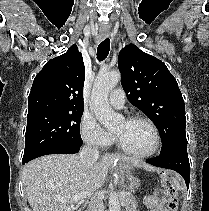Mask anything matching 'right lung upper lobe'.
I'll use <instances>...</instances> for the list:
<instances>
[{
    "mask_svg": "<svg viewBox=\"0 0 209 211\" xmlns=\"http://www.w3.org/2000/svg\"><path fill=\"white\" fill-rule=\"evenodd\" d=\"M85 67L76 44L48 61L36 75L28 98V113L84 109Z\"/></svg>",
    "mask_w": 209,
    "mask_h": 211,
    "instance_id": "obj_1",
    "label": "right lung upper lobe"
}]
</instances>
